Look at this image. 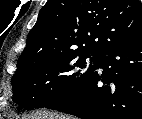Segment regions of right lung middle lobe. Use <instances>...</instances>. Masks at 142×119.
<instances>
[{"label":"right lung middle lobe","mask_w":142,"mask_h":119,"mask_svg":"<svg viewBox=\"0 0 142 119\" xmlns=\"http://www.w3.org/2000/svg\"><path fill=\"white\" fill-rule=\"evenodd\" d=\"M93 62V65L89 64ZM99 55L71 50L51 55L18 69L12 77L13 100L20 107L48 108L77 89L95 70Z\"/></svg>","instance_id":"dd1d6c3e"}]
</instances>
